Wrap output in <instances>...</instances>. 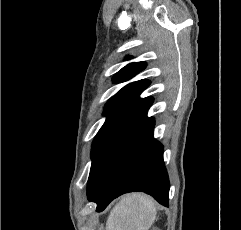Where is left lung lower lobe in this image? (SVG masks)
Masks as SVG:
<instances>
[{
    "label": "left lung lower lobe",
    "instance_id": "0a47b994",
    "mask_svg": "<svg viewBox=\"0 0 241 230\" xmlns=\"http://www.w3.org/2000/svg\"><path fill=\"white\" fill-rule=\"evenodd\" d=\"M149 107L93 156L87 196L97 203V212L103 211L114 198L131 191H143L168 206L170 184L163 146L153 138L154 119L147 117Z\"/></svg>",
    "mask_w": 241,
    "mask_h": 230
}]
</instances>
